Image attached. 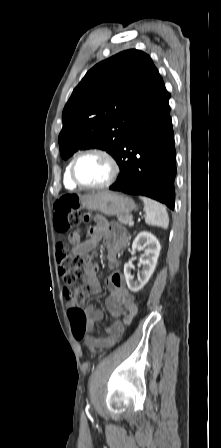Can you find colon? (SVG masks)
I'll return each mask as SVG.
<instances>
[{
  "label": "colon",
  "mask_w": 221,
  "mask_h": 448,
  "mask_svg": "<svg viewBox=\"0 0 221 448\" xmlns=\"http://www.w3.org/2000/svg\"><path fill=\"white\" fill-rule=\"evenodd\" d=\"M84 215L79 209V197L76 194H65L54 204V228L59 233H64L72 226H78ZM75 236L72 237V241ZM56 258L59 265V273L62 277L65 298L70 302L69 317L72 324V333L77 340H81L87 332V318L82 310L87 298V289L78 286V280L84 275L86 262L84 257L72 254L61 247Z\"/></svg>",
  "instance_id": "colon-1"
}]
</instances>
